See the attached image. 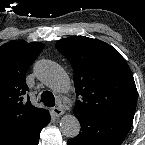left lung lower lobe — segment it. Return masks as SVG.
<instances>
[{"mask_svg":"<svg viewBox=\"0 0 145 145\" xmlns=\"http://www.w3.org/2000/svg\"><path fill=\"white\" fill-rule=\"evenodd\" d=\"M74 114L80 121L81 132L67 145H121L133 122V117L128 116Z\"/></svg>","mask_w":145,"mask_h":145,"instance_id":"left-lung-lower-lobe-1","label":"left lung lower lobe"}]
</instances>
